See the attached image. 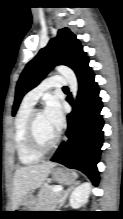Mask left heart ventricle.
Wrapping results in <instances>:
<instances>
[{
  "label": "left heart ventricle",
  "instance_id": "obj_1",
  "mask_svg": "<svg viewBox=\"0 0 123 219\" xmlns=\"http://www.w3.org/2000/svg\"><path fill=\"white\" fill-rule=\"evenodd\" d=\"M36 133L40 143L49 145L57 136L58 132L52 127L44 112H40L36 118Z\"/></svg>",
  "mask_w": 123,
  "mask_h": 219
}]
</instances>
